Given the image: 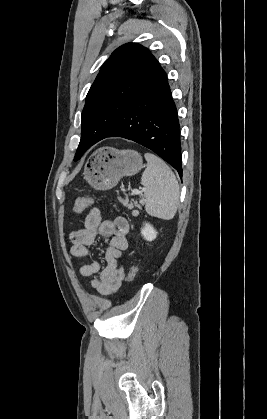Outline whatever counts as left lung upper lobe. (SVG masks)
<instances>
[{
  "label": "left lung upper lobe",
  "mask_w": 267,
  "mask_h": 419,
  "mask_svg": "<svg viewBox=\"0 0 267 419\" xmlns=\"http://www.w3.org/2000/svg\"><path fill=\"white\" fill-rule=\"evenodd\" d=\"M161 69L149 50L137 43L124 44L111 54L86 96L75 161L86 152L92 136L105 120L111 114L125 111Z\"/></svg>",
  "instance_id": "obj_1"
}]
</instances>
